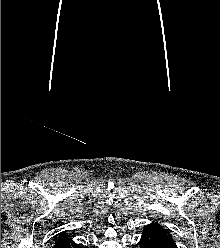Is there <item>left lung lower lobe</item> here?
Here are the masks:
<instances>
[{
	"label": "left lung lower lobe",
	"mask_w": 220,
	"mask_h": 248,
	"mask_svg": "<svg viewBox=\"0 0 220 248\" xmlns=\"http://www.w3.org/2000/svg\"><path fill=\"white\" fill-rule=\"evenodd\" d=\"M140 248H176L175 243L164 239L155 228L146 226L140 239Z\"/></svg>",
	"instance_id": "left-lung-lower-lobe-1"
}]
</instances>
